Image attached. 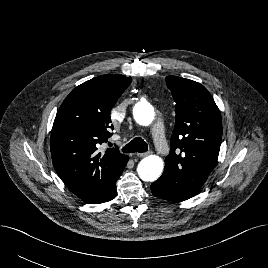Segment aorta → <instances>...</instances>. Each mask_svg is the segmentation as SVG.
Segmentation results:
<instances>
[{"mask_svg":"<svg viewBox=\"0 0 268 268\" xmlns=\"http://www.w3.org/2000/svg\"><path fill=\"white\" fill-rule=\"evenodd\" d=\"M135 121L143 126L150 125L155 117L153 106L148 102H140L133 109ZM164 169L163 160L156 155H149L142 159L137 167L139 177L146 182L156 181Z\"/></svg>","mask_w":268,"mask_h":268,"instance_id":"762f6f07","label":"aorta"}]
</instances>
